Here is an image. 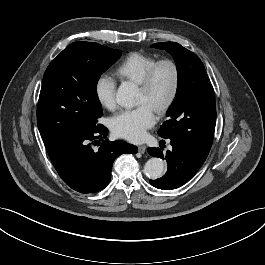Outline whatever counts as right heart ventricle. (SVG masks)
<instances>
[{"label": "right heart ventricle", "mask_w": 265, "mask_h": 265, "mask_svg": "<svg viewBox=\"0 0 265 265\" xmlns=\"http://www.w3.org/2000/svg\"><path fill=\"white\" fill-rule=\"evenodd\" d=\"M156 58L142 52L129 53L116 67L115 75L122 81L139 84L148 68Z\"/></svg>", "instance_id": "right-heart-ventricle-1"}]
</instances>
